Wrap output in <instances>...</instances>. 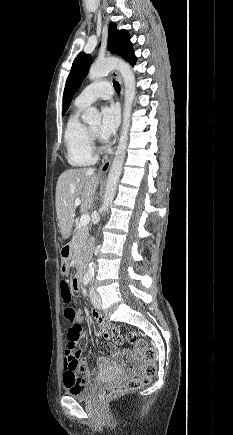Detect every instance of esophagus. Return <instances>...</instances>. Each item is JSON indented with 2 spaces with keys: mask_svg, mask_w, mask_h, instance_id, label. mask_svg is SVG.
Segmentation results:
<instances>
[{
  "mask_svg": "<svg viewBox=\"0 0 233 435\" xmlns=\"http://www.w3.org/2000/svg\"><path fill=\"white\" fill-rule=\"evenodd\" d=\"M113 76H115L118 81L121 84V98L123 99V94H124V89H123V81L122 78L120 76V74L117 71L113 72ZM115 152V148L113 149V151L111 152L110 156L105 160V162H103V164L100 166L99 168V173L100 174H106L108 172V170L110 169L111 166V162H112V158Z\"/></svg>",
  "mask_w": 233,
  "mask_h": 435,
  "instance_id": "34e87169",
  "label": "esophagus"
}]
</instances>
